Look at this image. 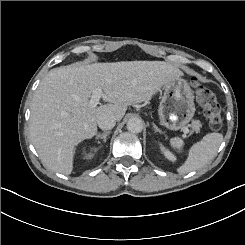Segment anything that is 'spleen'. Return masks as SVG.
<instances>
[{
	"label": "spleen",
	"mask_w": 245,
	"mask_h": 245,
	"mask_svg": "<svg viewBox=\"0 0 245 245\" xmlns=\"http://www.w3.org/2000/svg\"><path fill=\"white\" fill-rule=\"evenodd\" d=\"M222 142L223 135L220 133H209L205 135L200 142L195 143L190 148L188 158L185 164L178 168V172L180 174H186L202 168L216 155ZM170 144L174 149L181 151L184 146V141L180 137H175L170 139Z\"/></svg>",
	"instance_id": "1"
}]
</instances>
